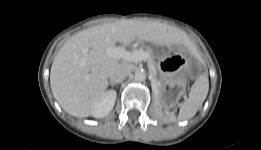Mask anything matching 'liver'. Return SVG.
<instances>
[{
    "label": "liver",
    "instance_id": "6515ba94",
    "mask_svg": "<svg viewBox=\"0 0 261 150\" xmlns=\"http://www.w3.org/2000/svg\"><path fill=\"white\" fill-rule=\"evenodd\" d=\"M135 39L160 46L189 43L182 30L152 21L127 19L82 30L62 46L51 66V90L60 106L76 117L91 116L107 88L109 70L120 63L107 48Z\"/></svg>",
    "mask_w": 261,
    "mask_h": 150
}]
</instances>
